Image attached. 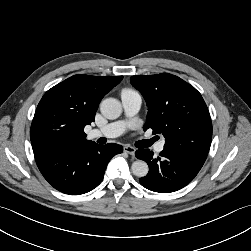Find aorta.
<instances>
[{
    "label": "aorta",
    "mask_w": 251,
    "mask_h": 251,
    "mask_svg": "<svg viewBox=\"0 0 251 251\" xmlns=\"http://www.w3.org/2000/svg\"><path fill=\"white\" fill-rule=\"evenodd\" d=\"M100 110L107 119H116L122 113L121 103L115 98H106L100 104ZM132 172L137 177H145L148 174L149 167L145 161L137 160L132 163Z\"/></svg>",
    "instance_id": "762f6f07"
}]
</instances>
